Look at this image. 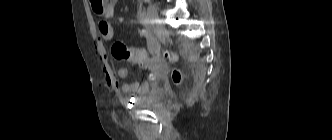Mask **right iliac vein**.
Masks as SVG:
<instances>
[{
    "instance_id": "obj_1",
    "label": "right iliac vein",
    "mask_w": 332,
    "mask_h": 140,
    "mask_svg": "<svg viewBox=\"0 0 332 140\" xmlns=\"http://www.w3.org/2000/svg\"><path fill=\"white\" fill-rule=\"evenodd\" d=\"M147 15L150 20V23L153 28H155L156 24L159 22L157 10L154 5H149L147 9Z\"/></svg>"
}]
</instances>
